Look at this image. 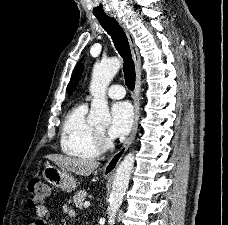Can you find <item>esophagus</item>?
<instances>
[{
	"instance_id": "34e87169",
	"label": "esophagus",
	"mask_w": 228,
	"mask_h": 225,
	"mask_svg": "<svg viewBox=\"0 0 228 225\" xmlns=\"http://www.w3.org/2000/svg\"><path fill=\"white\" fill-rule=\"evenodd\" d=\"M113 16H114L115 20L119 23V25L122 27V29L124 30V32L127 36L130 51H131L132 58H133V61L135 64V72H136L135 91H134V94L132 97L133 102H134L135 119H134L132 130H131L129 137L125 140V142L123 143L120 150L118 152L114 153V155H112V157L106 163V165H104L103 176L105 178H111V176L114 175L117 165L119 164L123 155L126 153L130 144L132 143V141L134 140V138L136 136L139 117H140L141 57L139 55V50L135 43L132 33L127 29L125 23L122 21V19L120 17H118L117 15H113Z\"/></svg>"
}]
</instances>
